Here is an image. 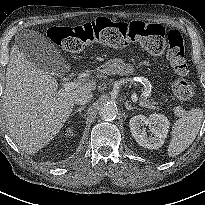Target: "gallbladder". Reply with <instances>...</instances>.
Returning <instances> with one entry per match:
<instances>
[{"label": "gallbladder", "instance_id": "gallbladder-1", "mask_svg": "<svg viewBox=\"0 0 205 205\" xmlns=\"http://www.w3.org/2000/svg\"><path fill=\"white\" fill-rule=\"evenodd\" d=\"M19 49L35 66L49 73L62 70L65 61L49 39L38 32L24 29L16 36Z\"/></svg>", "mask_w": 205, "mask_h": 205}]
</instances>
